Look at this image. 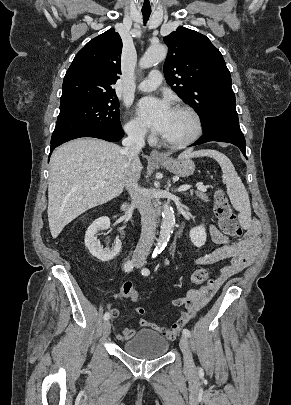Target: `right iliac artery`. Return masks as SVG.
I'll use <instances>...</instances> for the list:
<instances>
[{
  "instance_id": "1",
  "label": "right iliac artery",
  "mask_w": 291,
  "mask_h": 405,
  "mask_svg": "<svg viewBox=\"0 0 291 405\" xmlns=\"http://www.w3.org/2000/svg\"><path fill=\"white\" fill-rule=\"evenodd\" d=\"M133 267H134L133 262L128 261V262H126L125 265H124V270H125V272H130V271H132ZM109 318H110V314H109V312H106V313L104 314V316H103V319L106 321V320H108Z\"/></svg>"
}]
</instances>
